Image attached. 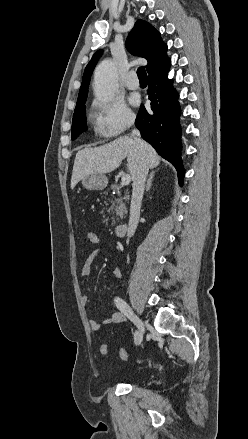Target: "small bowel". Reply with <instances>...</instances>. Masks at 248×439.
<instances>
[{"label":"small bowel","mask_w":248,"mask_h":439,"mask_svg":"<svg viewBox=\"0 0 248 439\" xmlns=\"http://www.w3.org/2000/svg\"><path fill=\"white\" fill-rule=\"evenodd\" d=\"M100 253L101 251L99 249H96L93 250L91 253H89V255L86 257L81 269V274L83 277H86L90 274L93 262L99 257ZM113 275L118 279L122 277L121 271L118 268L113 270ZM82 299L85 303L88 300L87 296H83ZM125 320H126L125 315L122 312H115L111 316L107 317L103 321V324L105 325L118 324L124 322ZM89 324L91 329L94 331H98L102 327V324L96 320H90Z\"/></svg>","instance_id":"small-bowel-1"}]
</instances>
